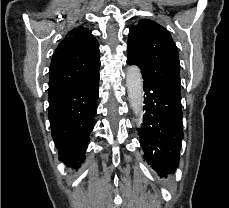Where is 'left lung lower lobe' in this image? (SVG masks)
Listing matches in <instances>:
<instances>
[{
  "label": "left lung lower lobe",
  "mask_w": 229,
  "mask_h": 208,
  "mask_svg": "<svg viewBox=\"0 0 229 208\" xmlns=\"http://www.w3.org/2000/svg\"><path fill=\"white\" fill-rule=\"evenodd\" d=\"M127 64L131 65L127 61ZM145 115L141 146L148 164L160 177L173 174L178 166L182 130L181 99L144 80Z\"/></svg>",
  "instance_id": "0a47b994"
}]
</instances>
